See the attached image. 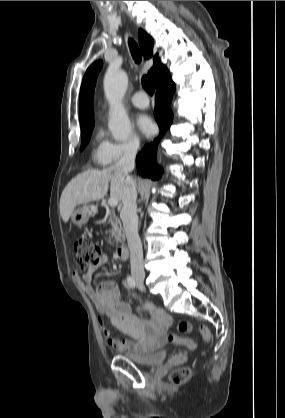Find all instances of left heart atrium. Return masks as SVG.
<instances>
[{"label":"left heart atrium","mask_w":285,"mask_h":418,"mask_svg":"<svg viewBox=\"0 0 285 418\" xmlns=\"http://www.w3.org/2000/svg\"><path fill=\"white\" fill-rule=\"evenodd\" d=\"M136 124L138 129L145 136H150L151 134H153L156 128L153 120L145 114H140L137 116Z\"/></svg>","instance_id":"obj_1"}]
</instances>
